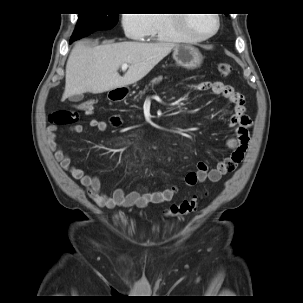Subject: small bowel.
<instances>
[{
    "mask_svg": "<svg viewBox=\"0 0 303 303\" xmlns=\"http://www.w3.org/2000/svg\"><path fill=\"white\" fill-rule=\"evenodd\" d=\"M189 89L201 91L211 90L212 93L225 97L233 106L234 114L229 120V126L235 129V135L228 139L227 146L231 150L229 156L220 162L215 168H209L206 161H199L197 168L186 176V185L194 186L206 180L217 183L221 178L233 172L242 162L249 142V131L252 121L245 111L243 95L232 86L216 81L211 84L206 82L196 83L188 86ZM89 126L99 132L109 129L107 122L99 119H91ZM71 130L81 133L84 128L80 124L71 127ZM56 127L47 128L48 146L60 166L70 173L87 190L89 197L99 206L105 208L132 207L145 208L150 204H163L170 202L179 192L176 185L159 191H131L125 193L121 188L115 189L111 194L101 190L98 179L87 175L83 170L71 163L68 153L55 140Z\"/></svg>",
    "mask_w": 303,
    "mask_h": 303,
    "instance_id": "small-bowel-1",
    "label": "small bowel"
}]
</instances>
